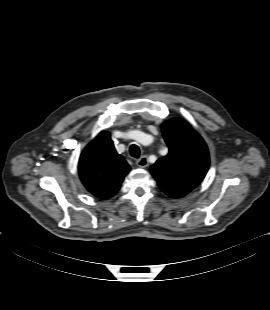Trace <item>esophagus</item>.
Instances as JSON below:
<instances>
[{
	"mask_svg": "<svg viewBox=\"0 0 270 310\" xmlns=\"http://www.w3.org/2000/svg\"><path fill=\"white\" fill-rule=\"evenodd\" d=\"M136 165H137L138 167H141V168L147 167V166H148V159H147V157L143 156V157H141L140 159H138V160L136 161Z\"/></svg>",
	"mask_w": 270,
	"mask_h": 310,
	"instance_id": "esophagus-1",
	"label": "esophagus"
}]
</instances>
